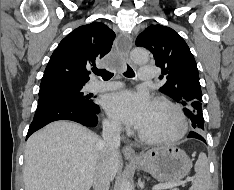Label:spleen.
Wrapping results in <instances>:
<instances>
[{
	"label": "spleen",
	"instance_id": "1",
	"mask_svg": "<svg viewBox=\"0 0 234 190\" xmlns=\"http://www.w3.org/2000/svg\"><path fill=\"white\" fill-rule=\"evenodd\" d=\"M195 177L189 190H210V173L208 159L200 153L195 163Z\"/></svg>",
	"mask_w": 234,
	"mask_h": 190
}]
</instances>
